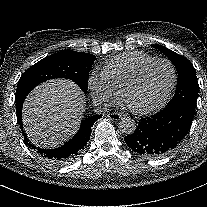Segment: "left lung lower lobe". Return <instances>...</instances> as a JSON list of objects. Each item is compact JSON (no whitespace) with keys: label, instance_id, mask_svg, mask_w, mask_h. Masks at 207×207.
Listing matches in <instances>:
<instances>
[{"label":"left lung lower lobe","instance_id":"0a47b994","mask_svg":"<svg viewBox=\"0 0 207 207\" xmlns=\"http://www.w3.org/2000/svg\"><path fill=\"white\" fill-rule=\"evenodd\" d=\"M194 111L185 106L165 107L141 118L136 131L124 137L129 148L145 157L157 158L171 152L186 136Z\"/></svg>","mask_w":207,"mask_h":207}]
</instances>
